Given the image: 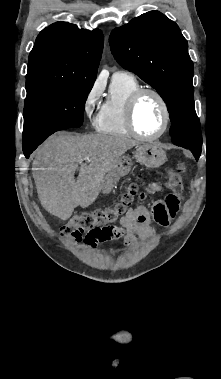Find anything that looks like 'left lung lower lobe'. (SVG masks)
<instances>
[{
  "instance_id": "0a47b994",
  "label": "left lung lower lobe",
  "mask_w": 221,
  "mask_h": 379,
  "mask_svg": "<svg viewBox=\"0 0 221 379\" xmlns=\"http://www.w3.org/2000/svg\"><path fill=\"white\" fill-rule=\"evenodd\" d=\"M184 148H185V147H184ZM186 149H188V148H186ZM189 150H190V149H189ZM190 151L194 154L196 160H198V158L200 157V154H201V153H198V152H196V151H194V150H190Z\"/></svg>"
}]
</instances>
